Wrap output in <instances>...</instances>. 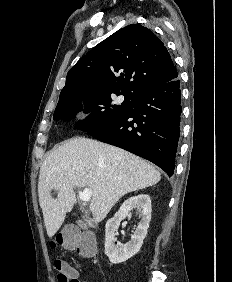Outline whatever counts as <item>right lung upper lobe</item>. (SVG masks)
I'll return each instance as SVG.
<instances>
[{"label":"right lung upper lobe","instance_id":"1","mask_svg":"<svg viewBox=\"0 0 232 282\" xmlns=\"http://www.w3.org/2000/svg\"><path fill=\"white\" fill-rule=\"evenodd\" d=\"M177 77L163 42L150 29L131 24L100 42L69 70L59 101L106 91L137 95L147 86Z\"/></svg>","mask_w":232,"mask_h":282}]
</instances>
